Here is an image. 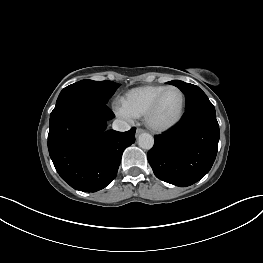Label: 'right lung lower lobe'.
I'll return each instance as SVG.
<instances>
[{
    "label": "right lung lower lobe",
    "instance_id": "right-lung-lower-lobe-1",
    "mask_svg": "<svg viewBox=\"0 0 263 263\" xmlns=\"http://www.w3.org/2000/svg\"><path fill=\"white\" fill-rule=\"evenodd\" d=\"M114 113L106 104L71 100L50 114L48 150L53 164L72 188L96 192L116 177L122 153L135 130H106Z\"/></svg>",
    "mask_w": 263,
    "mask_h": 263
}]
</instances>
